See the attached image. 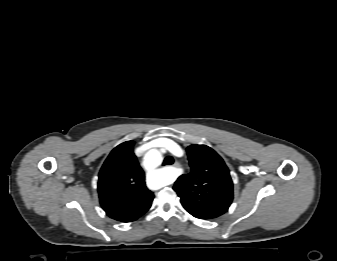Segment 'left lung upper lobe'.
I'll list each match as a JSON object with an SVG mask.
<instances>
[{"instance_id":"1","label":"left lung upper lobe","mask_w":337,"mask_h":261,"mask_svg":"<svg viewBox=\"0 0 337 261\" xmlns=\"http://www.w3.org/2000/svg\"><path fill=\"white\" fill-rule=\"evenodd\" d=\"M191 172L181 175L173 189L192 216L214 219L224 214L233 200V183L223 159L206 145L187 147Z\"/></svg>"}]
</instances>
